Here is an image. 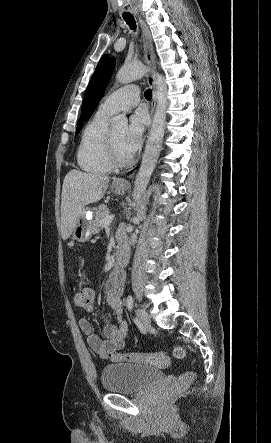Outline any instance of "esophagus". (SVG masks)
Returning <instances> with one entry per match:
<instances>
[{
	"label": "esophagus",
	"instance_id": "obj_1",
	"mask_svg": "<svg viewBox=\"0 0 271 443\" xmlns=\"http://www.w3.org/2000/svg\"><path fill=\"white\" fill-rule=\"evenodd\" d=\"M139 23L142 29V39H143V47H144V55L145 61L150 68V73L147 75V82L152 87V102H151V117L153 116L154 109L156 106V82H155V74L154 71L156 69V58L153 50V43L151 34L145 22L139 17ZM114 183H118L120 185H128L129 182H126L121 179H115Z\"/></svg>",
	"mask_w": 271,
	"mask_h": 443
}]
</instances>
